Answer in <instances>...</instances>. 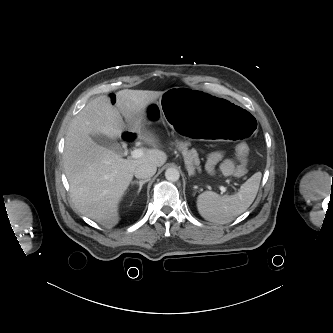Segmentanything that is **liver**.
I'll return each instance as SVG.
<instances>
[{"instance_id":"1","label":"liver","mask_w":333,"mask_h":333,"mask_svg":"<svg viewBox=\"0 0 333 333\" xmlns=\"http://www.w3.org/2000/svg\"><path fill=\"white\" fill-rule=\"evenodd\" d=\"M163 92L122 90L116 94V106L107 96L90 101L71 122L65 138L64 172L70 184L72 202L83 215L112 228L119 222L118 204L133 179L137 166L149 163L161 167L167 155L151 149L143 157L123 159L114 151L96 143L93 136L120 138L126 128L148 145L156 143L151 132L142 131L146 108ZM122 115V116H121Z\"/></svg>"}]
</instances>
